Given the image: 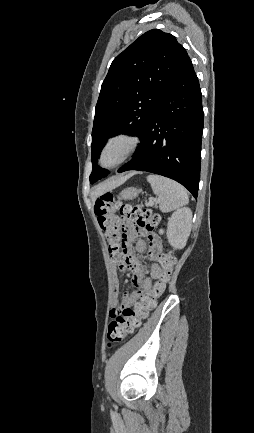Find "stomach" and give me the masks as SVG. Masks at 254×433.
Listing matches in <instances>:
<instances>
[{
  "label": "stomach",
  "mask_w": 254,
  "mask_h": 433,
  "mask_svg": "<svg viewBox=\"0 0 254 433\" xmlns=\"http://www.w3.org/2000/svg\"><path fill=\"white\" fill-rule=\"evenodd\" d=\"M139 194V190L134 187H129L124 189L121 193L119 198L123 200H132L136 198Z\"/></svg>",
  "instance_id": "0dacf381"
}]
</instances>
